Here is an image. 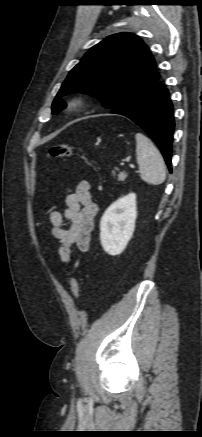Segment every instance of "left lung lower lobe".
<instances>
[{
    "label": "left lung lower lobe",
    "instance_id": "1",
    "mask_svg": "<svg viewBox=\"0 0 202 437\" xmlns=\"http://www.w3.org/2000/svg\"><path fill=\"white\" fill-rule=\"evenodd\" d=\"M111 113L128 117L143 128L160 149L169 171H172L173 105L168 89L159 78L113 108Z\"/></svg>",
    "mask_w": 202,
    "mask_h": 437
}]
</instances>
